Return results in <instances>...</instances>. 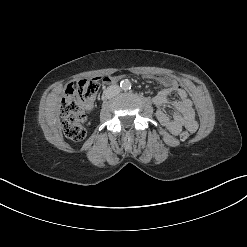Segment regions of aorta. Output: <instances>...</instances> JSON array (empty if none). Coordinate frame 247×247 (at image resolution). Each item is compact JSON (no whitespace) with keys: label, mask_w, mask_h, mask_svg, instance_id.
<instances>
[{"label":"aorta","mask_w":247,"mask_h":247,"mask_svg":"<svg viewBox=\"0 0 247 247\" xmlns=\"http://www.w3.org/2000/svg\"><path fill=\"white\" fill-rule=\"evenodd\" d=\"M120 87L122 90L127 91L131 89V82L128 79L121 81Z\"/></svg>","instance_id":"aorta-1"}]
</instances>
